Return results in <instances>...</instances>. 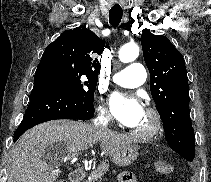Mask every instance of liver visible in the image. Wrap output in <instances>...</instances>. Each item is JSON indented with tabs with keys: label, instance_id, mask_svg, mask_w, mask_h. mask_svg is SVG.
<instances>
[{
	"label": "liver",
	"instance_id": "1",
	"mask_svg": "<svg viewBox=\"0 0 211 182\" xmlns=\"http://www.w3.org/2000/svg\"><path fill=\"white\" fill-rule=\"evenodd\" d=\"M100 142L102 154L113 156L122 146L132 144L131 136L78 121H51L25 132L16 142L10 157L8 182H54L61 174L57 169L66 155L87 150ZM62 144L59 159L43 158L46 149Z\"/></svg>",
	"mask_w": 211,
	"mask_h": 182
}]
</instances>
